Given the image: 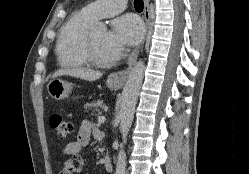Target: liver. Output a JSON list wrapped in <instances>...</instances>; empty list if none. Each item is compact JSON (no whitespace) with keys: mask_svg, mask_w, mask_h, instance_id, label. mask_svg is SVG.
I'll list each match as a JSON object with an SVG mask.
<instances>
[{"mask_svg":"<svg viewBox=\"0 0 249 174\" xmlns=\"http://www.w3.org/2000/svg\"><path fill=\"white\" fill-rule=\"evenodd\" d=\"M60 76H71L87 81H95L101 78L102 73L99 71L85 68L61 69L54 73L53 78Z\"/></svg>","mask_w":249,"mask_h":174,"instance_id":"1","label":"liver"}]
</instances>
